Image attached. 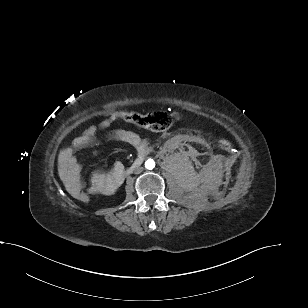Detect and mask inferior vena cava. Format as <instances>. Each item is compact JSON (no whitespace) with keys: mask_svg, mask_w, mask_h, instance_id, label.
<instances>
[{"mask_svg":"<svg viewBox=\"0 0 308 308\" xmlns=\"http://www.w3.org/2000/svg\"><path fill=\"white\" fill-rule=\"evenodd\" d=\"M141 172H142V168H141V167L135 169V173H136V174H139V173H141Z\"/></svg>","mask_w":308,"mask_h":308,"instance_id":"1","label":"inferior vena cava"}]
</instances>
